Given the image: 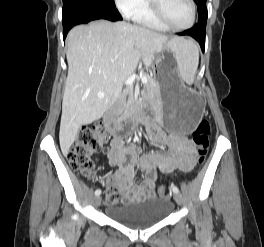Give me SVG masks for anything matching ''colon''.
Segmentation results:
<instances>
[{
  "label": "colon",
  "instance_id": "1",
  "mask_svg": "<svg viewBox=\"0 0 264 247\" xmlns=\"http://www.w3.org/2000/svg\"><path fill=\"white\" fill-rule=\"evenodd\" d=\"M210 124L206 119H202L197 124L193 132V141L196 145V153L199 163L205 161L209 146ZM102 148V138L87 132H82L67 155L70 167L79 174L90 179L96 177L95 162L93 156L100 152ZM157 194L166 197L169 190L166 186H159ZM118 201V191L115 187H110L106 195V202L115 204Z\"/></svg>",
  "mask_w": 264,
  "mask_h": 247
}]
</instances>
